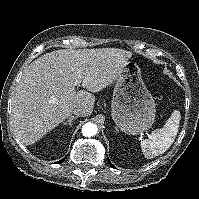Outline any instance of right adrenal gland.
Wrapping results in <instances>:
<instances>
[{"label":"right adrenal gland","instance_id":"1","mask_svg":"<svg viewBox=\"0 0 199 199\" xmlns=\"http://www.w3.org/2000/svg\"><path fill=\"white\" fill-rule=\"evenodd\" d=\"M76 118L77 117H75V116H70L67 121L63 122V125H69L71 127L73 120L76 119Z\"/></svg>","mask_w":199,"mask_h":199}]
</instances>
